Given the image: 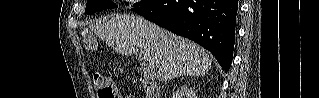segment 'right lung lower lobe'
<instances>
[{"label": "right lung lower lobe", "mask_w": 319, "mask_h": 98, "mask_svg": "<svg viewBox=\"0 0 319 98\" xmlns=\"http://www.w3.org/2000/svg\"><path fill=\"white\" fill-rule=\"evenodd\" d=\"M238 0H151L132 9L209 50L223 71L231 66Z\"/></svg>", "instance_id": "right-lung-lower-lobe-1"}]
</instances>
